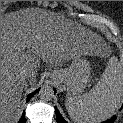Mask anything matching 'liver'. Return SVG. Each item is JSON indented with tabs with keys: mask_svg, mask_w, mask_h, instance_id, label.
<instances>
[{
	"mask_svg": "<svg viewBox=\"0 0 123 123\" xmlns=\"http://www.w3.org/2000/svg\"><path fill=\"white\" fill-rule=\"evenodd\" d=\"M98 35L55 18L45 10L26 9L1 18V123L19 117L22 92L30 74L34 85L40 61L61 66L80 55L101 53Z\"/></svg>",
	"mask_w": 123,
	"mask_h": 123,
	"instance_id": "6515ba94",
	"label": "liver"
}]
</instances>
